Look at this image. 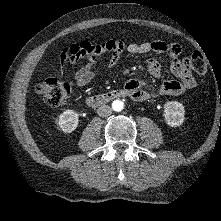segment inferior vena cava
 I'll return each mask as SVG.
<instances>
[{"label": "inferior vena cava", "mask_w": 221, "mask_h": 221, "mask_svg": "<svg viewBox=\"0 0 221 221\" xmlns=\"http://www.w3.org/2000/svg\"><path fill=\"white\" fill-rule=\"evenodd\" d=\"M112 113V108L108 105H101L98 109H97V114L100 117H108L109 115H111Z\"/></svg>", "instance_id": "602c4592"}]
</instances>
